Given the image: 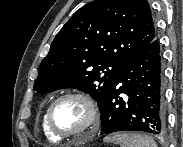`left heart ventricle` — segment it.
Segmentation results:
<instances>
[{"label": "left heart ventricle", "mask_w": 183, "mask_h": 147, "mask_svg": "<svg viewBox=\"0 0 183 147\" xmlns=\"http://www.w3.org/2000/svg\"><path fill=\"white\" fill-rule=\"evenodd\" d=\"M88 109L75 98L60 101L53 109L52 122L57 130L68 133L83 128L88 122Z\"/></svg>", "instance_id": "obj_1"}]
</instances>
